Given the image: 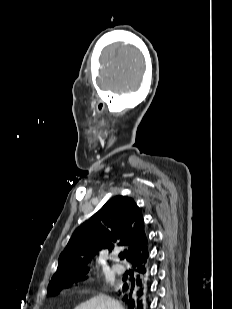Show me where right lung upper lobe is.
I'll use <instances>...</instances> for the list:
<instances>
[{
  "label": "right lung upper lobe",
  "instance_id": "obj_1",
  "mask_svg": "<svg viewBox=\"0 0 232 309\" xmlns=\"http://www.w3.org/2000/svg\"><path fill=\"white\" fill-rule=\"evenodd\" d=\"M147 243L141 209L132 198L113 197L74 231L48 290L53 283L81 280L89 271L87 264L102 249L124 247L125 258L133 264L146 256Z\"/></svg>",
  "mask_w": 232,
  "mask_h": 309
}]
</instances>
